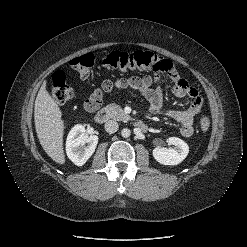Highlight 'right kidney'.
Masks as SVG:
<instances>
[{"label":"right kidney","mask_w":247,"mask_h":247,"mask_svg":"<svg viewBox=\"0 0 247 247\" xmlns=\"http://www.w3.org/2000/svg\"><path fill=\"white\" fill-rule=\"evenodd\" d=\"M97 144L98 136H88L85 127L77 124L67 136L66 154L75 165L82 166L95 152Z\"/></svg>","instance_id":"1"}]
</instances>
